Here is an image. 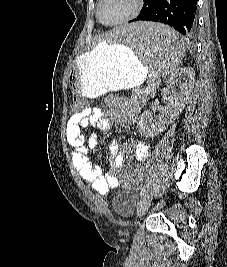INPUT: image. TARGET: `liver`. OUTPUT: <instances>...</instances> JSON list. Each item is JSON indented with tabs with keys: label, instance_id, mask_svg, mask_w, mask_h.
Instances as JSON below:
<instances>
[{
	"label": "liver",
	"instance_id": "obj_1",
	"mask_svg": "<svg viewBox=\"0 0 227 267\" xmlns=\"http://www.w3.org/2000/svg\"><path fill=\"white\" fill-rule=\"evenodd\" d=\"M113 33H118V30L114 29V30L110 31L107 36H112ZM100 44H102V43H100Z\"/></svg>",
	"mask_w": 227,
	"mask_h": 267
}]
</instances>
